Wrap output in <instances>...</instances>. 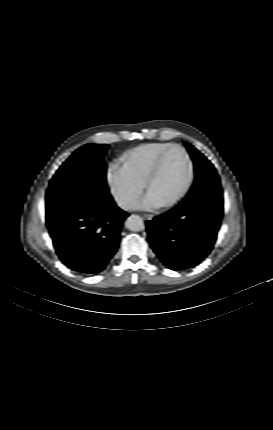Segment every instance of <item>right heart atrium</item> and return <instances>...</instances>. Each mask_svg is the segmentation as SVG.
Returning a JSON list of instances; mask_svg holds the SVG:
<instances>
[{
  "mask_svg": "<svg viewBox=\"0 0 273 430\" xmlns=\"http://www.w3.org/2000/svg\"><path fill=\"white\" fill-rule=\"evenodd\" d=\"M106 180L114 200L123 209L131 208L144 189V183L119 162L109 164Z\"/></svg>",
  "mask_w": 273,
  "mask_h": 430,
  "instance_id": "obj_1",
  "label": "right heart atrium"
}]
</instances>
